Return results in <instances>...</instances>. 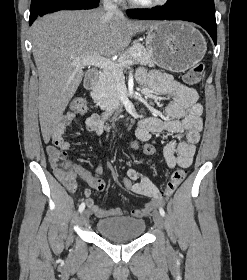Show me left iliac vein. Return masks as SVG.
Segmentation results:
<instances>
[{
    "label": "left iliac vein",
    "instance_id": "left-iliac-vein-1",
    "mask_svg": "<svg viewBox=\"0 0 247 280\" xmlns=\"http://www.w3.org/2000/svg\"><path fill=\"white\" fill-rule=\"evenodd\" d=\"M153 219H154V222H155L156 226L159 229L164 228V220H163L162 215L159 212H154L153 213Z\"/></svg>",
    "mask_w": 247,
    "mask_h": 280
}]
</instances>
